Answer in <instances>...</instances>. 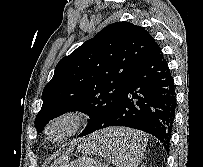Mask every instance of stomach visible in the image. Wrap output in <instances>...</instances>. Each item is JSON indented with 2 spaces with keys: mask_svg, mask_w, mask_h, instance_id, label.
<instances>
[{
  "mask_svg": "<svg viewBox=\"0 0 203 167\" xmlns=\"http://www.w3.org/2000/svg\"><path fill=\"white\" fill-rule=\"evenodd\" d=\"M116 128H112V129H107L103 132H101L100 134H96L94 136L95 139H100L101 141H106V140H111L112 138H105V139H102V137L104 135H108L110 132H113ZM82 151L83 152H90L89 149H86V148H82ZM140 151H139V147L136 149V155L138 157H140ZM67 167H102L101 164L92 159V158H89V157H82V158H79L75 161H73L71 164H69Z\"/></svg>",
  "mask_w": 203,
  "mask_h": 167,
  "instance_id": "0dacf381",
  "label": "stomach"
}]
</instances>
